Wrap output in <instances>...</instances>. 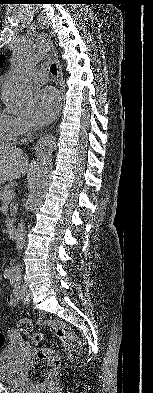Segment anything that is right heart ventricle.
<instances>
[{"mask_svg":"<svg viewBox=\"0 0 153 393\" xmlns=\"http://www.w3.org/2000/svg\"><path fill=\"white\" fill-rule=\"evenodd\" d=\"M18 117L0 109V143L15 139L19 135Z\"/></svg>","mask_w":153,"mask_h":393,"instance_id":"right-heart-ventricle-1","label":"right heart ventricle"}]
</instances>
